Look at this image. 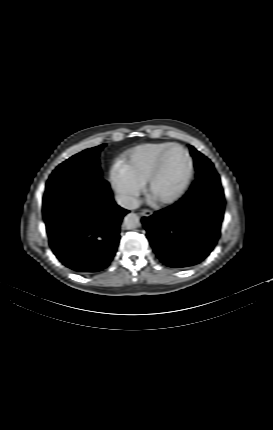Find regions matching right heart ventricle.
<instances>
[{
	"label": "right heart ventricle",
	"instance_id": "right-heart-ventricle-1",
	"mask_svg": "<svg viewBox=\"0 0 273 430\" xmlns=\"http://www.w3.org/2000/svg\"><path fill=\"white\" fill-rule=\"evenodd\" d=\"M170 142L146 143L129 151L123 158L122 165L131 178L143 186L160 153L170 146Z\"/></svg>",
	"mask_w": 273,
	"mask_h": 430
}]
</instances>
